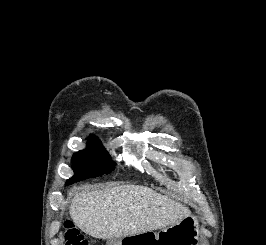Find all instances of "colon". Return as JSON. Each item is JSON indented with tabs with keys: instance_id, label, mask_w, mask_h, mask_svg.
<instances>
[{
	"instance_id": "5ec220e1",
	"label": "colon",
	"mask_w": 266,
	"mask_h": 245,
	"mask_svg": "<svg viewBox=\"0 0 266 245\" xmlns=\"http://www.w3.org/2000/svg\"><path fill=\"white\" fill-rule=\"evenodd\" d=\"M64 241L65 245H89V242L71 221L64 223Z\"/></svg>"
}]
</instances>
